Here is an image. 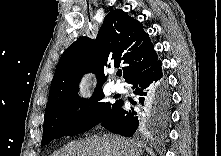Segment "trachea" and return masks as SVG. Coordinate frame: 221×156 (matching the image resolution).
I'll return each mask as SVG.
<instances>
[{
  "instance_id": "1",
  "label": "trachea",
  "mask_w": 221,
  "mask_h": 156,
  "mask_svg": "<svg viewBox=\"0 0 221 156\" xmlns=\"http://www.w3.org/2000/svg\"><path fill=\"white\" fill-rule=\"evenodd\" d=\"M122 75V72H117V76H121Z\"/></svg>"
}]
</instances>
